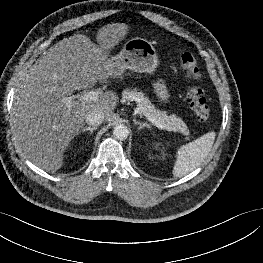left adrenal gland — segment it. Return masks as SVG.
<instances>
[{"instance_id":"a2214340","label":"left adrenal gland","mask_w":263,"mask_h":263,"mask_svg":"<svg viewBox=\"0 0 263 263\" xmlns=\"http://www.w3.org/2000/svg\"><path fill=\"white\" fill-rule=\"evenodd\" d=\"M134 124L139 125L138 130H142L144 128L150 129V125L147 123H142L140 121H137L136 119L133 120Z\"/></svg>"}]
</instances>
